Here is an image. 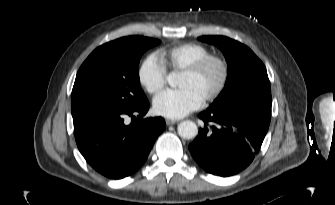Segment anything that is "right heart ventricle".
Masks as SVG:
<instances>
[{"label":"right heart ventricle","mask_w":335,"mask_h":205,"mask_svg":"<svg viewBox=\"0 0 335 205\" xmlns=\"http://www.w3.org/2000/svg\"><path fill=\"white\" fill-rule=\"evenodd\" d=\"M211 54L204 45L198 43H183L159 52L165 66L174 71H182L198 60Z\"/></svg>","instance_id":"right-heart-ventricle-1"}]
</instances>
